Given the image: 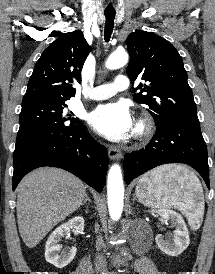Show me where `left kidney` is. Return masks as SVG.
<instances>
[{
    "instance_id": "obj_1",
    "label": "left kidney",
    "mask_w": 215,
    "mask_h": 274,
    "mask_svg": "<svg viewBox=\"0 0 215 274\" xmlns=\"http://www.w3.org/2000/svg\"><path fill=\"white\" fill-rule=\"evenodd\" d=\"M150 212L152 214L157 213L175 227L173 237H164L161 234L156 236L155 241L157 246L169 256L174 257L180 255L190 243L188 229L181 215L167 208L151 210Z\"/></svg>"
}]
</instances>
